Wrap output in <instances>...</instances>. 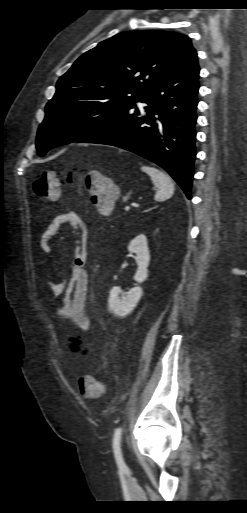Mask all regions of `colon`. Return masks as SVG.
<instances>
[{
    "mask_svg": "<svg viewBox=\"0 0 247 513\" xmlns=\"http://www.w3.org/2000/svg\"><path fill=\"white\" fill-rule=\"evenodd\" d=\"M75 173L70 171L63 175L55 171H44L33 183L36 196L49 200H57L62 187L74 180ZM86 193L91 197L101 214H108L117 201L115 187L101 172H92L85 178ZM80 392L88 398H99L106 392L105 384L92 376H82L78 382Z\"/></svg>",
    "mask_w": 247,
    "mask_h": 513,
    "instance_id": "5ec220e1",
    "label": "colon"
}]
</instances>
